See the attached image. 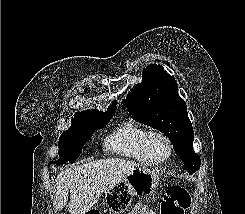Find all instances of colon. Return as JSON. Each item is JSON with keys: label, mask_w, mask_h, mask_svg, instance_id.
I'll list each match as a JSON object with an SVG mask.
<instances>
[{"label": "colon", "mask_w": 245, "mask_h": 214, "mask_svg": "<svg viewBox=\"0 0 245 214\" xmlns=\"http://www.w3.org/2000/svg\"><path fill=\"white\" fill-rule=\"evenodd\" d=\"M191 199L187 191L182 187H172L164 195L160 214H184V211L190 206ZM141 214H156L152 210H142Z\"/></svg>", "instance_id": "5ec220e1"}]
</instances>
